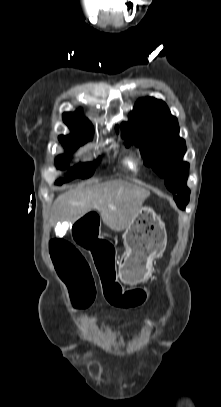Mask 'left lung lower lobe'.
<instances>
[{
    "label": "left lung lower lobe",
    "instance_id": "0a47b994",
    "mask_svg": "<svg viewBox=\"0 0 221 407\" xmlns=\"http://www.w3.org/2000/svg\"><path fill=\"white\" fill-rule=\"evenodd\" d=\"M175 201H176V203H177V205H178L179 208L184 209L185 206H186V204H187L188 201H189V196L186 197V198H178V199H176Z\"/></svg>",
    "mask_w": 221,
    "mask_h": 407
}]
</instances>
